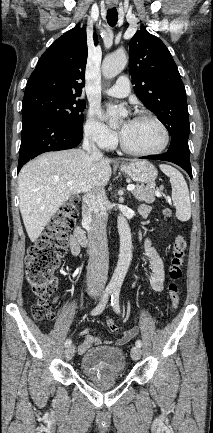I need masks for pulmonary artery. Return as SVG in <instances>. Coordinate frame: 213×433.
Masks as SVG:
<instances>
[{
  "instance_id": "pulmonary-artery-1",
  "label": "pulmonary artery",
  "mask_w": 213,
  "mask_h": 433,
  "mask_svg": "<svg viewBox=\"0 0 213 433\" xmlns=\"http://www.w3.org/2000/svg\"><path fill=\"white\" fill-rule=\"evenodd\" d=\"M105 93L112 97L124 98L130 93L129 79L126 76L118 78L115 85L105 90Z\"/></svg>"
}]
</instances>
